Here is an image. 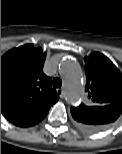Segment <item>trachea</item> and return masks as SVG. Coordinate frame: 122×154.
<instances>
[{
  "mask_svg": "<svg viewBox=\"0 0 122 154\" xmlns=\"http://www.w3.org/2000/svg\"><path fill=\"white\" fill-rule=\"evenodd\" d=\"M53 87L55 88H61L62 86V82L59 78H54L53 82H52Z\"/></svg>",
  "mask_w": 122,
  "mask_h": 154,
  "instance_id": "1",
  "label": "trachea"
}]
</instances>
